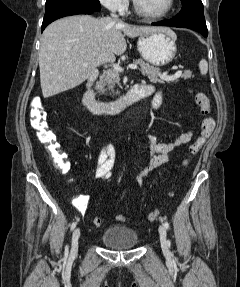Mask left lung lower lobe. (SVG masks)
I'll list each match as a JSON object with an SVG mask.
<instances>
[{"label": "left lung lower lobe", "instance_id": "1", "mask_svg": "<svg viewBox=\"0 0 240 287\" xmlns=\"http://www.w3.org/2000/svg\"><path fill=\"white\" fill-rule=\"evenodd\" d=\"M152 25L189 28L200 32L204 37L208 35L201 0H184L178 15L169 20L152 23Z\"/></svg>", "mask_w": 240, "mask_h": 287}]
</instances>
